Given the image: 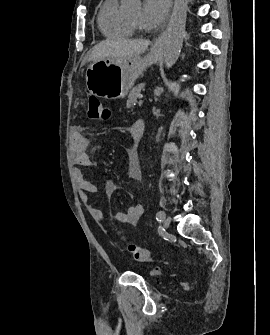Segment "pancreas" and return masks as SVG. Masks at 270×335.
<instances>
[{
	"mask_svg": "<svg viewBox=\"0 0 270 335\" xmlns=\"http://www.w3.org/2000/svg\"><path fill=\"white\" fill-rule=\"evenodd\" d=\"M142 88H144V84H139V86H135V88H132L128 96L127 108H132V106L136 104L137 98H139L138 94H140Z\"/></svg>",
	"mask_w": 270,
	"mask_h": 335,
	"instance_id": "cf45deb5",
	"label": "pancreas"
}]
</instances>
